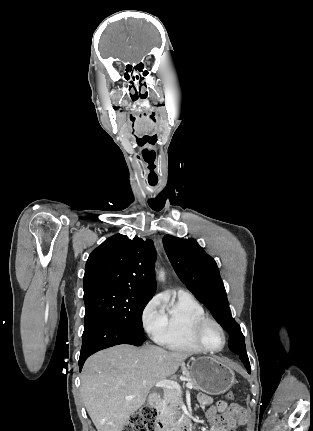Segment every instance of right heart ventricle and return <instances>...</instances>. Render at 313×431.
<instances>
[{"label":"right heart ventricle","instance_id":"1","mask_svg":"<svg viewBox=\"0 0 313 431\" xmlns=\"http://www.w3.org/2000/svg\"><path fill=\"white\" fill-rule=\"evenodd\" d=\"M164 314L165 325L157 341L173 351H201L192 340L195 324L206 316L201 303L190 293H178L164 308Z\"/></svg>","mask_w":313,"mask_h":431}]
</instances>
